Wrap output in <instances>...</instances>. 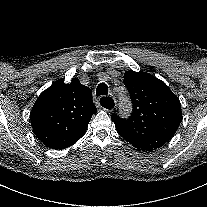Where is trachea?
<instances>
[{"label": "trachea", "instance_id": "trachea-1", "mask_svg": "<svg viewBox=\"0 0 207 207\" xmlns=\"http://www.w3.org/2000/svg\"><path fill=\"white\" fill-rule=\"evenodd\" d=\"M108 94V87L105 83H101L97 86L96 89V95L97 96H101V95H107ZM113 99L112 98H108V97H102L100 100V104L102 107H113Z\"/></svg>", "mask_w": 207, "mask_h": 207}]
</instances>
